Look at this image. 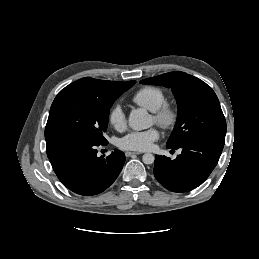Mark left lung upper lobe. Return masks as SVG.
<instances>
[{
    "instance_id": "1",
    "label": "left lung upper lobe",
    "mask_w": 259,
    "mask_h": 259,
    "mask_svg": "<svg viewBox=\"0 0 259 259\" xmlns=\"http://www.w3.org/2000/svg\"><path fill=\"white\" fill-rule=\"evenodd\" d=\"M140 83L171 88L177 100V123L166 146L178 149L201 136L225 138L226 121L219 100L202 80L184 72H169Z\"/></svg>"
}]
</instances>
